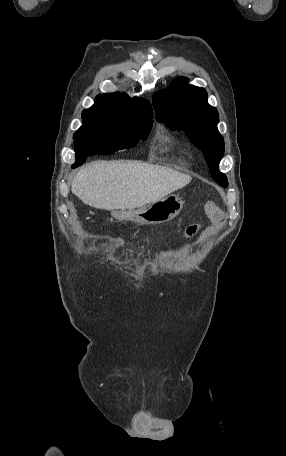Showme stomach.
Returning <instances> with one entry per match:
<instances>
[{
    "mask_svg": "<svg viewBox=\"0 0 286 456\" xmlns=\"http://www.w3.org/2000/svg\"><path fill=\"white\" fill-rule=\"evenodd\" d=\"M183 206L184 201L180 197L170 195L141 207L138 210L139 220L146 224L164 223L176 217Z\"/></svg>",
    "mask_w": 286,
    "mask_h": 456,
    "instance_id": "0dacf381",
    "label": "stomach"
}]
</instances>
